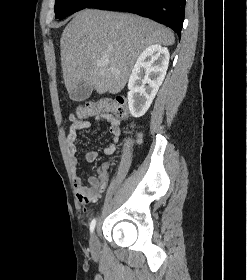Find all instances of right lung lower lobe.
Masks as SVG:
<instances>
[{"instance_id": "obj_1", "label": "right lung lower lobe", "mask_w": 247, "mask_h": 280, "mask_svg": "<svg viewBox=\"0 0 247 280\" xmlns=\"http://www.w3.org/2000/svg\"><path fill=\"white\" fill-rule=\"evenodd\" d=\"M89 8L119 10L148 17L169 26L180 37L185 0H97Z\"/></svg>"}]
</instances>
